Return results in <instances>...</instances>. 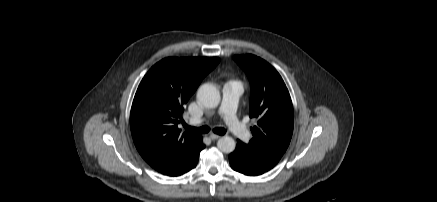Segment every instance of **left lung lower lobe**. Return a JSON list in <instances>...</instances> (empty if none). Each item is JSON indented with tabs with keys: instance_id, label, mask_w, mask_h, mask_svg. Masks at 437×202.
Listing matches in <instances>:
<instances>
[{
	"instance_id": "0a47b994",
	"label": "left lung lower lobe",
	"mask_w": 437,
	"mask_h": 202,
	"mask_svg": "<svg viewBox=\"0 0 437 202\" xmlns=\"http://www.w3.org/2000/svg\"><path fill=\"white\" fill-rule=\"evenodd\" d=\"M233 170L248 176L261 175L274 166L251 152L240 140H237L236 149L229 155Z\"/></svg>"
}]
</instances>
